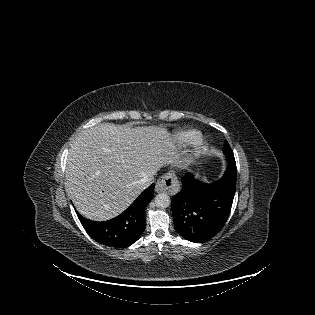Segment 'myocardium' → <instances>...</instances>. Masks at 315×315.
Segmentation results:
<instances>
[{
	"instance_id": "obj_1",
	"label": "myocardium",
	"mask_w": 315,
	"mask_h": 315,
	"mask_svg": "<svg viewBox=\"0 0 315 315\" xmlns=\"http://www.w3.org/2000/svg\"><path fill=\"white\" fill-rule=\"evenodd\" d=\"M206 149V140L203 137H198L193 143V154L200 155Z\"/></svg>"
}]
</instances>
